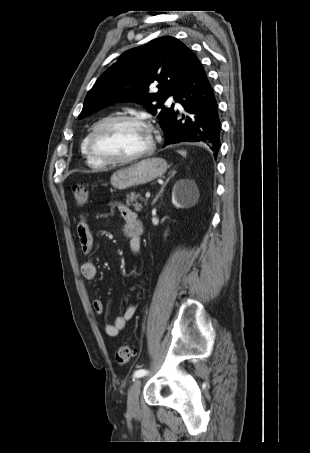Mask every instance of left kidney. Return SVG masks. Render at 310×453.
Masks as SVG:
<instances>
[{"label": "left kidney", "instance_id": "obj_1", "mask_svg": "<svg viewBox=\"0 0 310 453\" xmlns=\"http://www.w3.org/2000/svg\"><path fill=\"white\" fill-rule=\"evenodd\" d=\"M196 189L184 185L183 181L176 184L172 194V204L177 208H182L184 205L189 204Z\"/></svg>", "mask_w": 310, "mask_h": 453}]
</instances>
